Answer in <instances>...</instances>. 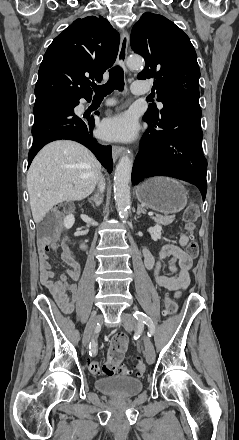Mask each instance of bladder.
<instances>
[{"label":"bladder","instance_id":"bladder-1","mask_svg":"<svg viewBox=\"0 0 239 440\" xmlns=\"http://www.w3.org/2000/svg\"><path fill=\"white\" fill-rule=\"evenodd\" d=\"M98 391L118 398H129L142 391L143 383L131 376L103 377L95 381Z\"/></svg>","mask_w":239,"mask_h":440}]
</instances>
